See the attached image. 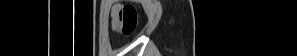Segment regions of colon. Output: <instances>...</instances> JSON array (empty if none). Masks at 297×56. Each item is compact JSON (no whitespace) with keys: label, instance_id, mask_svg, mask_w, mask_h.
Returning a JSON list of instances; mask_svg holds the SVG:
<instances>
[{"label":"colon","instance_id":"5ec220e1","mask_svg":"<svg viewBox=\"0 0 297 56\" xmlns=\"http://www.w3.org/2000/svg\"><path fill=\"white\" fill-rule=\"evenodd\" d=\"M117 31L125 35L131 34L138 23V13L133 5L125 4L117 9Z\"/></svg>","mask_w":297,"mask_h":56}]
</instances>
